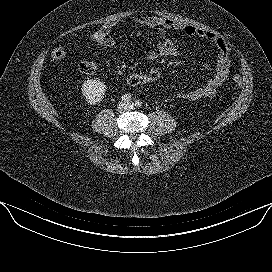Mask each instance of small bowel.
Returning a JSON list of instances; mask_svg holds the SVG:
<instances>
[{
    "label": "small bowel",
    "mask_w": 272,
    "mask_h": 272,
    "mask_svg": "<svg viewBox=\"0 0 272 272\" xmlns=\"http://www.w3.org/2000/svg\"><path fill=\"white\" fill-rule=\"evenodd\" d=\"M134 22L139 25L156 28L161 35V39L158 42L156 49L145 53L144 56L148 60H156L166 56L181 55L173 41L166 36V33L169 30L180 31L190 37H199L213 44L217 49L218 59L215 73L212 75V77L205 84L189 90L181 87H175L174 94L178 98L187 99L189 101H197L203 98L213 97L217 93L218 89L227 79L231 66L230 48L222 38L209 31L199 29L192 25H188L170 18L140 17L136 18ZM115 26L116 23L111 21L103 25L101 29L112 33ZM204 67L205 69L210 68L207 63L204 64Z\"/></svg>",
    "instance_id": "small-bowel-1"
}]
</instances>
